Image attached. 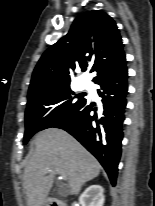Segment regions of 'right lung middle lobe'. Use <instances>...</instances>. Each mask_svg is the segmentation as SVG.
Wrapping results in <instances>:
<instances>
[{
	"mask_svg": "<svg viewBox=\"0 0 155 206\" xmlns=\"http://www.w3.org/2000/svg\"><path fill=\"white\" fill-rule=\"evenodd\" d=\"M73 94L69 85H62L28 96L23 144L38 131L53 127L85 100L81 96L73 98Z\"/></svg>",
	"mask_w": 155,
	"mask_h": 206,
	"instance_id": "obj_1",
	"label": "right lung middle lobe"
}]
</instances>
